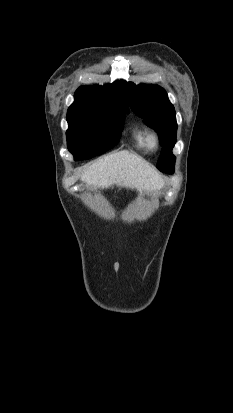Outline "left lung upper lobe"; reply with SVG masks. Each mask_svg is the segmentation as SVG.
<instances>
[{"mask_svg": "<svg viewBox=\"0 0 233 413\" xmlns=\"http://www.w3.org/2000/svg\"><path fill=\"white\" fill-rule=\"evenodd\" d=\"M125 99L132 110L145 119L159 135L162 154L157 164L160 171L171 174L174 172L175 156L172 148L176 143L177 123L175 109L168 99L166 91L156 85H135L122 82Z\"/></svg>", "mask_w": 233, "mask_h": 413, "instance_id": "1", "label": "left lung upper lobe"}]
</instances>
